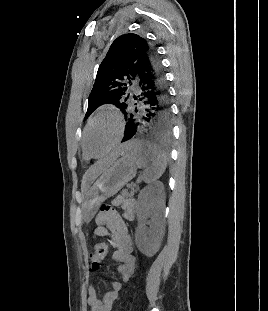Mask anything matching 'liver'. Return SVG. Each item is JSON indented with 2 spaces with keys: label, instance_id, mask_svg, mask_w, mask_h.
<instances>
[{
  "label": "liver",
  "instance_id": "6515ba94",
  "mask_svg": "<svg viewBox=\"0 0 268 311\" xmlns=\"http://www.w3.org/2000/svg\"><path fill=\"white\" fill-rule=\"evenodd\" d=\"M126 146H122L114 154H111L109 157H106L102 160H99L94 166H92L84 175L83 183L87 181L95 180L100 174H102L118 157L120 153H124Z\"/></svg>",
  "mask_w": 268,
  "mask_h": 311
}]
</instances>
